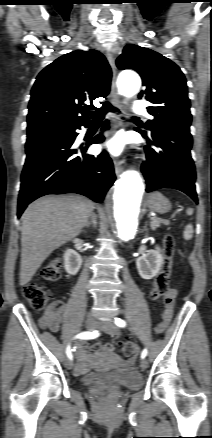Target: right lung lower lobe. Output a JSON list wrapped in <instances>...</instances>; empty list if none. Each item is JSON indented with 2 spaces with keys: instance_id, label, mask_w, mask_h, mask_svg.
<instances>
[{
  "instance_id": "98d812e1",
  "label": "right lung lower lobe",
  "mask_w": 212,
  "mask_h": 438,
  "mask_svg": "<svg viewBox=\"0 0 212 438\" xmlns=\"http://www.w3.org/2000/svg\"><path fill=\"white\" fill-rule=\"evenodd\" d=\"M80 126L53 124L28 131L18 217L29 203L47 194L78 193L103 201L116 179L113 163L106 151L98 156L85 154L89 145L104 141L101 134L85 146H74ZM108 128L106 121L102 130Z\"/></svg>"
}]
</instances>
